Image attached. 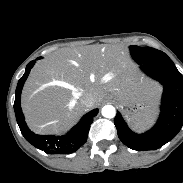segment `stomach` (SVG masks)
I'll return each instance as SVG.
<instances>
[{"mask_svg":"<svg viewBox=\"0 0 183 183\" xmlns=\"http://www.w3.org/2000/svg\"><path fill=\"white\" fill-rule=\"evenodd\" d=\"M121 108H124L126 117L133 123L142 121L151 111L155 102L145 98L128 101L117 97Z\"/></svg>","mask_w":183,"mask_h":183,"instance_id":"0dacf381","label":"stomach"}]
</instances>
